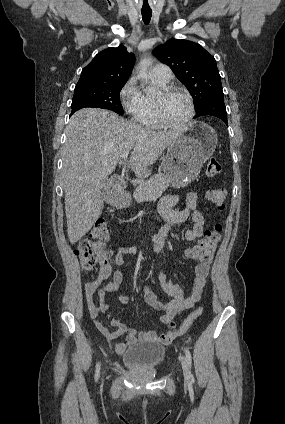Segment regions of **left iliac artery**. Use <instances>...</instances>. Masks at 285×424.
Masks as SVG:
<instances>
[{
  "label": "left iliac artery",
  "instance_id": "left-iliac-artery-1",
  "mask_svg": "<svg viewBox=\"0 0 285 424\" xmlns=\"http://www.w3.org/2000/svg\"><path fill=\"white\" fill-rule=\"evenodd\" d=\"M185 354H186L188 366L191 369L192 357H191V353H190L188 348L185 349ZM189 379H190L191 383L194 382L193 375H192L191 371H189Z\"/></svg>",
  "mask_w": 285,
  "mask_h": 424
}]
</instances>
